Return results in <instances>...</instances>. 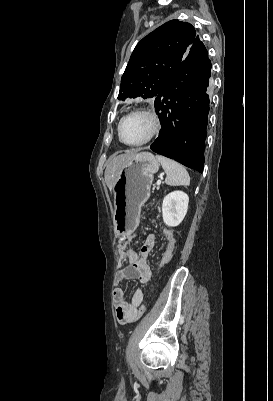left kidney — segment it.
Instances as JSON below:
<instances>
[{
	"label": "left kidney",
	"instance_id": "5707ae66",
	"mask_svg": "<svg viewBox=\"0 0 273 401\" xmlns=\"http://www.w3.org/2000/svg\"><path fill=\"white\" fill-rule=\"evenodd\" d=\"M189 196L183 190H173L166 194L162 203V215L165 225L177 227L182 223L188 209Z\"/></svg>",
	"mask_w": 273,
	"mask_h": 401
}]
</instances>
